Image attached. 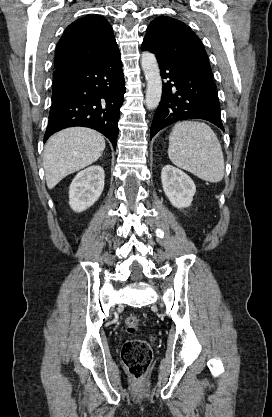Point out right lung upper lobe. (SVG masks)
Masks as SVG:
<instances>
[{"instance_id": "obj_1", "label": "right lung upper lobe", "mask_w": 272, "mask_h": 417, "mask_svg": "<svg viewBox=\"0 0 272 417\" xmlns=\"http://www.w3.org/2000/svg\"><path fill=\"white\" fill-rule=\"evenodd\" d=\"M115 46L113 29L101 16L91 15L70 24L57 43L55 69L86 66L101 60Z\"/></svg>"}]
</instances>
